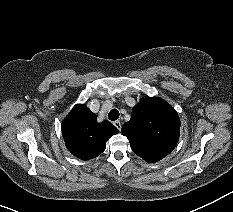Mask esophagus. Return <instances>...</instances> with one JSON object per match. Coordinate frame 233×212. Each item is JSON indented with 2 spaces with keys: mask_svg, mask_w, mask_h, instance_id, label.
I'll use <instances>...</instances> for the list:
<instances>
[{
  "mask_svg": "<svg viewBox=\"0 0 233 212\" xmlns=\"http://www.w3.org/2000/svg\"><path fill=\"white\" fill-rule=\"evenodd\" d=\"M114 126L120 131L121 130V122L119 120H116L113 122Z\"/></svg>",
  "mask_w": 233,
  "mask_h": 212,
  "instance_id": "1",
  "label": "esophagus"
}]
</instances>
